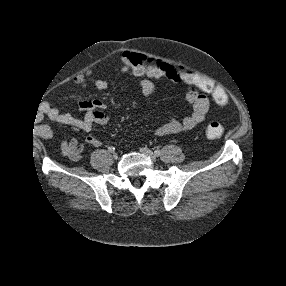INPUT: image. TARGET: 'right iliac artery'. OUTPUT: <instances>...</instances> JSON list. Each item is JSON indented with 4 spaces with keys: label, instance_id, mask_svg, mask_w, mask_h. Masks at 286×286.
Listing matches in <instances>:
<instances>
[{
    "label": "right iliac artery",
    "instance_id": "right-iliac-artery-1",
    "mask_svg": "<svg viewBox=\"0 0 286 286\" xmlns=\"http://www.w3.org/2000/svg\"><path fill=\"white\" fill-rule=\"evenodd\" d=\"M114 150H115V148L112 147V146L108 148V151L111 152V153L114 152Z\"/></svg>",
    "mask_w": 286,
    "mask_h": 286
}]
</instances>
